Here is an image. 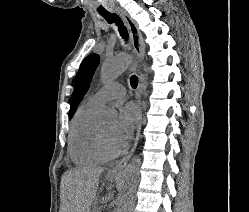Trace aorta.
I'll return each mask as SVG.
<instances>
[{"mask_svg": "<svg viewBox=\"0 0 249 212\" xmlns=\"http://www.w3.org/2000/svg\"><path fill=\"white\" fill-rule=\"evenodd\" d=\"M132 62L133 57L129 54H120L106 60L101 67L102 82L110 83L114 81ZM102 115L105 118H114L117 113L114 109L106 107L103 109ZM140 164L141 158L134 156L123 172L118 193L117 212H131Z\"/></svg>", "mask_w": 249, "mask_h": 212, "instance_id": "obj_1", "label": "aorta"}]
</instances>
